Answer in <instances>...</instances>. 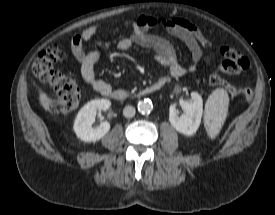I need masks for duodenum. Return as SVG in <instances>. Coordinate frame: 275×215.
Instances as JSON below:
<instances>
[{
  "instance_id": "obj_1",
  "label": "duodenum",
  "mask_w": 275,
  "mask_h": 215,
  "mask_svg": "<svg viewBox=\"0 0 275 215\" xmlns=\"http://www.w3.org/2000/svg\"><path fill=\"white\" fill-rule=\"evenodd\" d=\"M167 83L166 79H159L155 83L144 87L137 93V96H145L160 91ZM108 97L115 101H124L128 98V94L123 90H113L107 94Z\"/></svg>"
}]
</instances>
